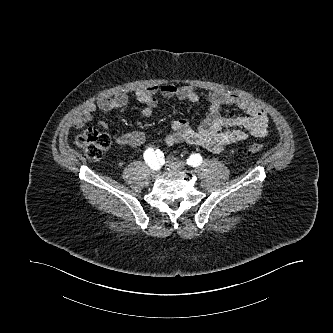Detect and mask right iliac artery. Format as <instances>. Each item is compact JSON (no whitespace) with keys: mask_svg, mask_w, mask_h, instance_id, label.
Listing matches in <instances>:
<instances>
[{"mask_svg":"<svg viewBox=\"0 0 333 333\" xmlns=\"http://www.w3.org/2000/svg\"><path fill=\"white\" fill-rule=\"evenodd\" d=\"M144 159L152 169H159L160 164L164 160V154L159 149L154 151L149 148L144 152Z\"/></svg>","mask_w":333,"mask_h":333,"instance_id":"right-iliac-artery-1","label":"right iliac artery"}]
</instances>
